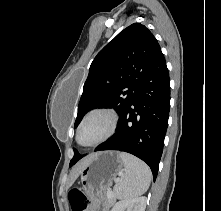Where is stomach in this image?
Here are the masks:
<instances>
[{"mask_svg": "<svg viewBox=\"0 0 221 211\" xmlns=\"http://www.w3.org/2000/svg\"><path fill=\"white\" fill-rule=\"evenodd\" d=\"M122 167L118 152L104 151L94 154L80 173L82 189L89 197H105V190L121 172Z\"/></svg>", "mask_w": 221, "mask_h": 211, "instance_id": "1", "label": "stomach"}]
</instances>
